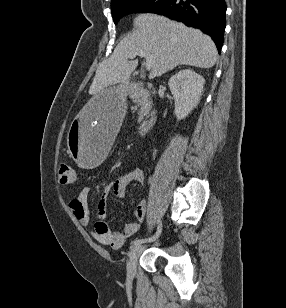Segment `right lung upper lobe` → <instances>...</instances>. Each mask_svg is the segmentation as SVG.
<instances>
[{
	"label": "right lung upper lobe",
	"mask_w": 286,
	"mask_h": 308,
	"mask_svg": "<svg viewBox=\"0 0 286 308\" xmlns=\"http://www.w3.org/2000/svg\"><path fill=\"white\" fill-rule=\"evenodd\" d=\"M116 1H118V0H111V5H112V4H115Z\"/></svg>",
	"instance_id": "cb5924a9"
}]
</instances>
